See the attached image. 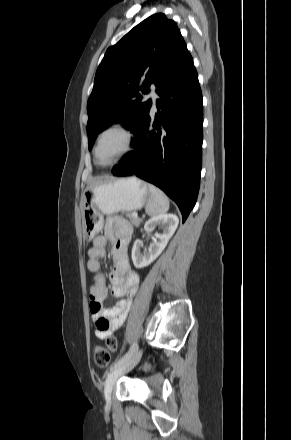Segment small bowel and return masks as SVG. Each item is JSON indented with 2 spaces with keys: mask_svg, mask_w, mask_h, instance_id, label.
Listing matches in <instances>:
<instances>
[{
  "mask_svg": "<svg viewBox=\"0 0 291 440\" xmlns=\"http://www.w3.org/2000/svg\"><path fill=\"white\" fill-rule=\"evenodd\" d=\"M107 241L113 244V255L117 262L116 268L110 274L112 283L111 294L115 298H122L113 308L102 309L101 302L107 296V286L101 273L100 258L104 255ZM131 242L130 225L118 218H109L104 225V234L98 236L87 251V268L96 275L90 287V311L95 322V336L104 339L119 328L132 306L133 297L139 286V276L131 271L127 255V246ZM107 319L108 325L102 324ZM146 371L152 370V364L145 367Z\"/></svg>",
  "mask_w": 291,
  "mask_h": 440,
  "instance_id": "c3829d8e",
  "label": "small bowel"
}]
</instances>
